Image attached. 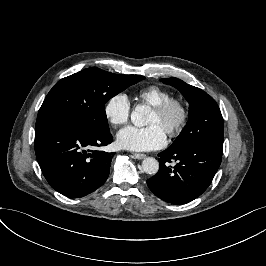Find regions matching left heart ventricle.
Segmentation results:
<instances>
[{
	"label": "left heart ventricle",
	"mask_w": 266,
	"mask_h": 266,
	"mask_svg": "<svg viewBox=\"0 0 266 266\" xmlns=\"http://www.w3.org/2000/svg\"><path fill=\"white\" fill-rule=\"evenodd\" d=\"M178 118L179 111L177 109H173L167 116H162L152 110L147 123L158 124L166 131L167 126L171 123H174Z\"/></svg>",
	"instance_id": "left-heart-ventricle-1"
}]
</instances>
